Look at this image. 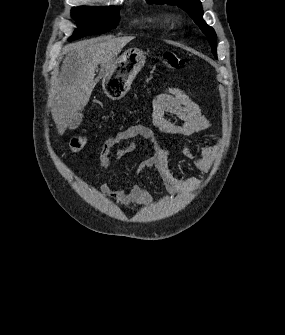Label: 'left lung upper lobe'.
<instances>
[{"mask_svg": "<svg viewBox=\"0 0 285 335\" xmlns=\"http://www.w3.org/2000/svg\"><path fill=\"white\" fill-rule=\"evenodd\" d=\"M149 3L157 4H176L183 8L190 17L194 20L196 24L200 27L204 34H206L208 41L210 42L211 49L215 58H217V42H216V33L214 29L208 26L203 20V10L200 0H146Z\"/></svg>", "mask_w": 285, "mask_h": 335, "instance_id": "left-lung-upper-lobe-1", "label": "left lung upper lobe"}]
</instances>
